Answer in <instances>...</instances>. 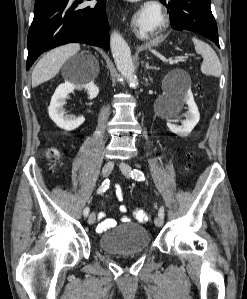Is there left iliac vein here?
Listing matches in <instances>:
<instances>
[{
  "mask_svg": "<svg viewBox=\"0 0 247 299\" xmlns=\"http://www.w3.org/2000/svg\"><path fill=\"white\" fill-rule=\"evenodd\" d=\"M119 167H120L122 173L126 177H130L132 168L129 164L122 162V163H120ZM154 223L158 227L163 226V224H164L163 218H161L160 216H157L154 220Z\"/></svg>",
  "mask_w": 247,
  "mask_h": 299,
  "instance_id": "4c4485c4",
  "label": "left iliac vein"
}]
</instances>
